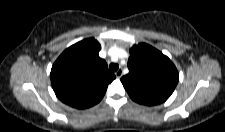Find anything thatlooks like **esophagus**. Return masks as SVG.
Wrapping results in <instances>:
<instances>
[{"instance_id": "obj_1", "label": "esophagus", "mask_w": 225, "mask_h": 132, "mask_svg": "<svg viewBox=\"0 0 225 132\" xmlns=\"http://www.w3.org/2000/svg\"><path fill=\"white\" fill-rule=\"evenodd\" d=\"M122 74H123L122 69H118V70L115 72V75H116L117 78H121Z\"/></svg>"}]
</instances>
